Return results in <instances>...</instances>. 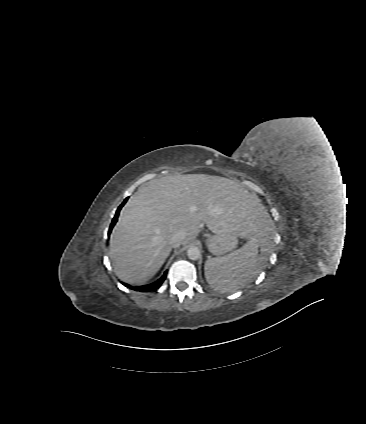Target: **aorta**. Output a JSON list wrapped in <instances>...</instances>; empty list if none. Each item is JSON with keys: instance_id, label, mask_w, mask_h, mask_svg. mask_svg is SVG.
<instances>
[{"instance_id": "1", "label": "aorta", "mask_w": 366, "mask_h": 424, "mask_svg": "<svg viewBox=\"0 0 366 424\" xmlns=\"http://www.w3.org/2000/svg\"><path fill=\"white\" fill-rule=\"evenodd\" d=\"M187 256L191 260H198L201 256L199 248L196 246H190L187 250Z\"/></svg>"}]
</instances>
